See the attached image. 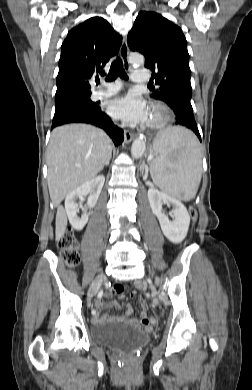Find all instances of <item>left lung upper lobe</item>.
Returning a JSON list of instances; mask_svg holds the SVG:
<instances>
[{"label":"left lung upper lobe","instance_id":"1","mask_svg":"<svg viewBox=\"0 0 252 390\" xmlns=\"http://www.w3.org/2000/svg\"><path fill=\"white\" fill-rule=\"evenodd\" d=\"M128 46L145 56V67L160 87L152 97L169 103L192 98L187 41L180 27L154 12H140L127 37Z\"/></svg>","mask_w":252,"mask_h":390}]
</instances>
